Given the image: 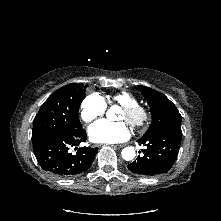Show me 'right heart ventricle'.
Masks as SVG:
<instances>
[{"instance_id":"e07e8e85","label":"right heart ventricle","mask_w":221,"mask_h":221,"mask_svg":"<svg viewBox=\"0 0 221 221\" xmlns=\"http://www.w3.org/2000/svg\"><path fill=\"white\" fill-rule=\"evenodd\" d=\"M110 102L118 103L121 106H129L137 104V98L129 92H118L107 98Z\"/></svg>"}]
</instances>
